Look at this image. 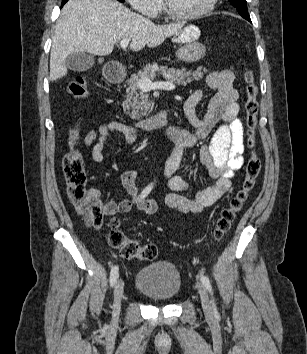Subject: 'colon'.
I'll return each mask as SVG.
<instances>
[{
	"label": "colon",
	"mask_w": 307,
	"mask_h": 354,
	"mask_svg": "<svg viewBox=\"0 0 307 354\" xmlns=\"http://www.w3.org/2000/svg\"><path fill=\"white\" fill-rule=\"evenodd\" d=\"M246 100L244 104L245 122L247 127L248 145L251 148L250 156L245 166V177L241 188L225 207L216 222L214 236L222 239L230 230L236 214L242 209L250 192L253 190L257 176L260 172V159L255 152L256 139L255 129L257 126V114L259 109L258 88L254 81V75L250 70L245 73ZM68 93L74 99H85L88 90L84 77L75 76L68 86ZM77 131L71 130L69 136L70 150L62 160V169L67 182L68 195L75 210L81 214L88 225L100 227L104 217L108 214L107 205L95 199L86 188L87 176L84 161L79 150L75 148ZM119 220L112 217L108 221L110 233L108 235L109 245L118 250L121 257L126 259H140L149 261L156 257L157 248L153 244H140L130 239L119 229Z\"/></svg>",
	"instance_id": "1"
}]
</instances>
